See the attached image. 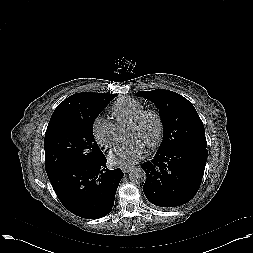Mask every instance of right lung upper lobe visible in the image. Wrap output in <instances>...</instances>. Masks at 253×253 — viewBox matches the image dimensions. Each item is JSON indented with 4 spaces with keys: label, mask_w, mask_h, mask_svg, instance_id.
<instances>
[{
    "label": "right lung upper lobe",
    "mask_w": 253,
    "mask_h": 253,
    "mask_svg": "<svg viewBox=\"0 0 253 253\" xmlns=\"http://www.w3.org/2000/svg\"><path fill=\"white\" fill-rule=\"evenodd\" d=\"M106 93H77L65 99L58 105L53 114L64 112L81 110L86 108L92 101L106 96Z\"/></svg>",
    "instance_id": "1"
}]
</instances>
